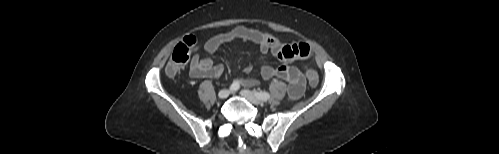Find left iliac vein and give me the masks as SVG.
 <instances>
[{
  "label": "left iliac vein",
  "mask_w": 499,
  "mask_h": 154,
  "mask_svg": "<svg viewBox=\"0 0 499 154\" xmlns=\"http://www.w3.org/2000/svg\"><path fill=\"white\" fill-rule=\"evenodd\" d=\"M241 96L247 99L249 102L255 104V105H260L262 104V100H260L253 92L243 89L240 92Z\"/></svg>",
  "instance_id": "4c4485c4"
}]
</instances>
